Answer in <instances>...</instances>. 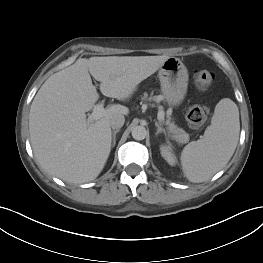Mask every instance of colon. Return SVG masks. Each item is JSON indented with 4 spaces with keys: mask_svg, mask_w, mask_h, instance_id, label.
I'll use <instances>...</instances> for the list:
<instances>
[{
    "mask_svg": "<svg viewBox=\"0 0 263 263\" xmlns=\"http://www.w3.org/2000/svg\"><path fill=\"white\" fill-rule=\"evenodd\" d=\"M215 81V73L210 70L200 69L194 73V83L199 90H207ZM208 108L194 104L186 111V121L193 128L200 127L207 119Z\"/></svg>",
    "mask_w": 263,
    "mask_h": 263,
    "instance_id": "colon-1",
    "label": "colon"
}]
</instances>
